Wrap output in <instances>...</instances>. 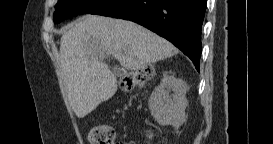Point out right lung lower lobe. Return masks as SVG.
Here are the masks:
<instances>
[{
	"label": "right lung lower lobe",
	"mask_w": 273,
	"mask_h": 144,
	"mask_svg": "<svg viewBox=\"0 0 273 144\" xmlns=\"http://www.w3.org/2000/svg\"><path fill=\"white\" fill-rule=\"evenodd\" d=\"M207 0H109L91 14L136 22L166 38L199 71Z\"/></svg>",
	"instance_id": "right-lung-lower-lobe-1"
}]
</instances>
